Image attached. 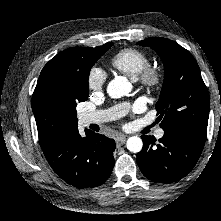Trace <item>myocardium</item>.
<instances>
[{"instance_id":"myocardium-1","label":"myocardium","mask_w":221,"mask_h":221,"mask_svg":"<svg viewBox=\"0 0 221 221\" xmlns=\"http://www.w3.org/2000/svg\"><path fill=\"white\" fill-rule=\"evenodd\" d=\"M139 79L143 86L148 89H154L161 83L162 75L157 69L147 67L141 72Z\"/></svg>"}]
</instances>
